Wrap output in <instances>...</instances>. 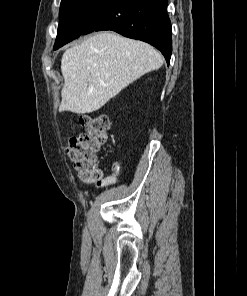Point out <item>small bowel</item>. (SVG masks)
<instances>
[{
    "label": "small bowel",
    "mask_w": 247,
    "mask_h": 296,
    "mask_svg": "<svg viewBox=\"0 0 247 296\" xmlns=\"http://www.w3.org/2000/svg\"><path fill=\"white\" fill-rule=\"evenodd\" d=\"M115 183H116V179L114 177H109L105 179V181L103 182V186H111V185H114Z\"/></svg>",
    "instance_id": "obj_1"
}]
</instances>
